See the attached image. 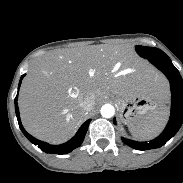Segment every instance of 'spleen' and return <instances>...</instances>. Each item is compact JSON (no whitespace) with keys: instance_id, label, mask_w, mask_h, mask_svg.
I'll return each mask as SVG.
<instances>
[{"instance_id":"1","label":"spleen","mask_w":183,"mask_h":183,"mask_svg":"<svg viewBox=\"0 0 183 183\" xmlns=\"http://www.w3.org/2000/svg\"><path fill=\"white\" fill-rule=\"evenodd\" d=\"M169 110L164 105H159L153 112L139 119L135 124H129V131L138 140H149L157 135L165 127Z\"/></svg>"}]
</instances>
